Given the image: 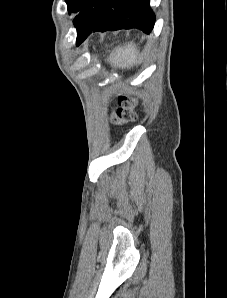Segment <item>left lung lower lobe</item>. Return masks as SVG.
<instances>
[{
    "mask_svg": "<svg viewBox=\"0 0 227 298\" xmlns=\"http://www.w3.org/2000/svg\"><path fill=\"white\" fill-rule=\"evenodd\" d=\"M154 22L155 15L150 9L149 0H107L91 32L137 28L150 34Z\"/></svg>",
    "mask_w": 227,
    "mask_h": 298,
    "instance_id": "left-lung-lower-lobe-1",
    "label": "left lung lower lobe"
}]
</instances>
